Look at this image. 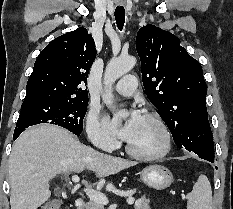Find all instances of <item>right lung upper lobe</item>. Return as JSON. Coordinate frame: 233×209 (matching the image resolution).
Listing matches in <instances>:
<instances>
[{
  "instance_id": "1",
  "label": "right lung upper lobe",
  "mask_w": 233,
  "mask_h": 209,
  "mask_svg": "<svg viewBox=\"0 0 233 209\" xmlns=\"http://www.w3.org/2000/svg\"><path fill=\"white\" fill-rule=\"evenodd\" d=\"M95 57L94 40L85 28L57 37L37 57L23 104L88 100L85 85Z\"/></svg>"
}]
</instances>
